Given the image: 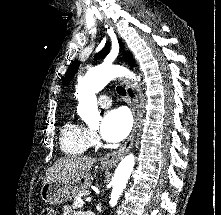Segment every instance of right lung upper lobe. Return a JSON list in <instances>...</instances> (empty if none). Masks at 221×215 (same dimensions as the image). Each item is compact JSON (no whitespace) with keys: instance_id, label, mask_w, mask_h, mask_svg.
I'll return each mask as SVG.
<instances>
[{"instance_id":"1","label":"right lung upper lobe","mask_w":221,"mask_h":215,"mask_svg":"<svg viewBox=\"0 0 221 215\" xmlns=\"http://www.w3.org/2000/svg\"><path fill=\"white\" fill-rule=\"evenodd\" d=\"M126 61L130 64V66L134 65L133 59L130 54H124Z\"/></svg>"}]
</instances>
